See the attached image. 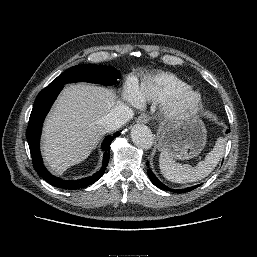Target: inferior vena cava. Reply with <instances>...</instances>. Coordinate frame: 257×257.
<instances>
[{
	"instance_id": "inferior-vena-cava-1",
	"label": "inferior vena cava",
	"mask_w": 257,
	"mask_h": 257,
	"mask_svg": "<svg viewBox=\"0 0 257 257\" xmlns=\"http://www.w3.org/2000/svg\"><path fill=\"white\" fill-rule=\"evenodd\" d=\"M133 111L126 105L119 104L100 119V123L107 130H115L133 117Z\"/></svg>"
}]
</instances>
